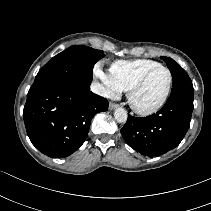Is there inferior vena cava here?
Returning a JSON list of instances; mask_svg holds the SVG:
<instances>
[{
	"label": "inferior vena cava",
	"instance_id": "602c4592",
	"mask_svg": "<svg viewBox=\"0 0 211 211\" xmlns=\"http://www.w3.org/2000/svg\"><path fill=\"white\" fill-rule=\"evenodd\" d=\"M91 91L104 97L108 95L106 89L99 82L91 84Z\"/></svg>",
	"mask_w": 211,
	"mask_h": 211
}]
</instances>
